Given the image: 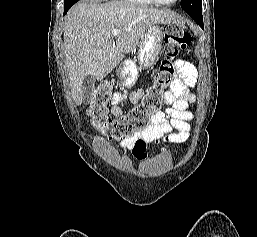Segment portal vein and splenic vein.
<instances>
[{"label": "portal vein and splenic vein", "mask_w": 257, "mask_h": 237, "mask_svg": "<svg viewBox=\"0 0 257 237\" xmlns=\"http://www.w3.org/2000/svg\"><path fill=\"white\" fill-rule=\"evenodd\" d=\"M120 32H121V31H120L119 29H113L112 32H111V34H112L113 37H115V36H117L118 34H120Z\"/></svg>", "instance_id": "1"}]
</instances>
